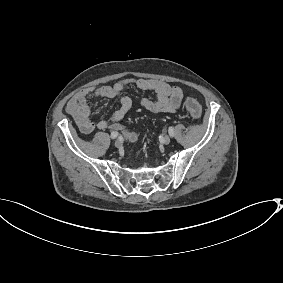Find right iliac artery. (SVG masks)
Returning <instances> with one entry per match:
<instances>
[{
  "instance_id": "82829eb1",
  "label": "right iliac artery",
  "mask_w": 283,
  "mask_h": 283,
  "mask_svg": "<svg viewBox=\"0 0 283 283\" xmlns=\"http://www.w3.org/2000/svg\"><path fill=\"white\" fill-rule=\"evenodd\" d=\"M118 132L117 131H113L112 133H111V138L112 139H116L117 137H118Z\"/></svg>"
}]
</instances>
